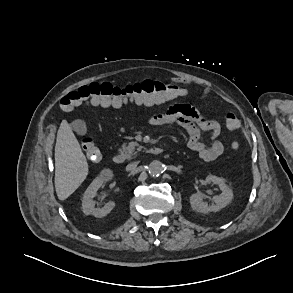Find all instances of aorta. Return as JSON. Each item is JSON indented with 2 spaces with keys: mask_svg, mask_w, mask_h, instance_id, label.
<instances>
[{
  "mask_svg": "<svg viewBox=\"0 0 293 293\" xmlns=\"http://www.w3.org/2000/svg\"><path fill=\"white\" fill-rule=\"evenodd\" d=\"M163 171L164 165L158 160H154L148 165V172L151 176H159L163 173Z\"/></svg>",
  "mask_w": 293,
  "mask_h": 293,
  "instance_id": "aorta-1",
  "label": "aorta"
}]
</instances>
